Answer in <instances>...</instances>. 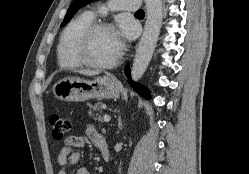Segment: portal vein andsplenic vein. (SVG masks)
<instances>
[{
  "instance_id": "portal-vein-and-splenic-vein-1",
  "label": "portal vein and splenic vein",
  "mask_w": 249,
  "mask_h": 174,
  "mask_svg": "<svg viewBox=\"0 0 249 174\" xmlns=\"http://www.w3.org/2000/svg\"><path fill=\"white\" fill-rule=\"evenodd\" d=\"M110 119H111L110 116L107 115V114H105V115L103 116V120H104L105 122H109Z\"/></svg>"
}]
</instances>
